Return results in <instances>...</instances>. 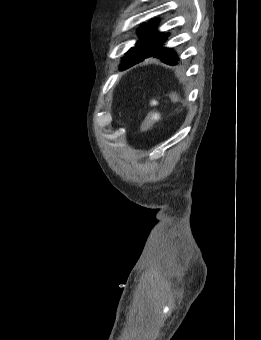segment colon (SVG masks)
Masks as SVG:
<instances>
[{
    "instance_id": "obj_1",
    "label": "colon",
    "mask_w": 261,
    "mask_h": 340,
    "mask_svg": "<svg viewBox=\"0 0 261 340\" xmlns=\"http://www.w3.org/2000/svg\"><path fill=\"white\" fill-rule=\"evenodd\" d=\"M158 101L156 99H151L148 102L149 111L141 125L143 131H148L154 124L160 120V114L157 110Z\"/></svg>"
}]
</instances>
